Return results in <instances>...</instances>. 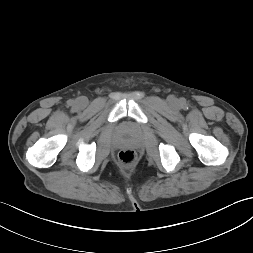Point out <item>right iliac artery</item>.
Here are the masks:
<instances>
[{"mask_svg": "<svg viewBox=\"0 0 253 253\" xmlns=\"http://www.w3.org/2000/svg\"><path fill=\"white\" fill-rule=\"evenodd\" d=\"M69 104L72 105V104H73V101H69Z\"/></svg>", "mask_w": 253, "mask_h": 253, "instance_id": "82829eb1", "label": "right iliac artery"}]
</instances>
